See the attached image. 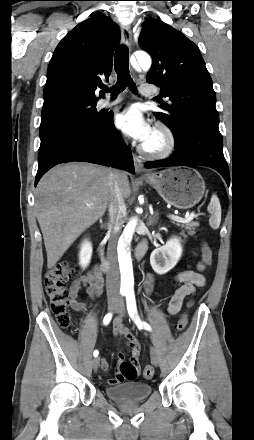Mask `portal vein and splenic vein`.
I'll return each mask as SVG.
<instances>
[{"mask_svg": "<svg viewBox=\"0 0 254 440\" xmlns=\"http://www.w3.org/2000/svg\"><path fill=\"white\" fill-rule=\"evenodd\" d=\"M87 206L90 207L92 205L91 204H87ZM195 217H196L195 213H191L189 216H187L185 218L177 216V215H172V214L168 215L169 219H171L173 221H176V222H181V223L189 222V221L193 220Z\"/></svg>", "mask_w": 254, "mask_h": 440, "instance_id": "1", "label": "portal vein and splenic vein"}]
</instances>
